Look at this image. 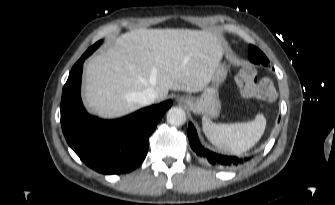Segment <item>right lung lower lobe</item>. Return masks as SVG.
I'll return each instance as SVG.
<instances>
[{"mask_svg": "<svg viewBox=\"0 0 335 205\" xmlns=\"http://www.w3.org/2000/svg\"><path fill=\"white\" fill-rule=\"evenodd\" d=\"M82 57L73 66L63 87L62 131L69 146L90 168L103 174L134 170L146 157L149 136L172 101L167 100L127 117L105 121L90 116L81 101Z\"/></svg>", "mask_w": 335, "mask_h": 205, "instance_id": "obj_1", "label": "right lung lower lobe"}]
</instances>
